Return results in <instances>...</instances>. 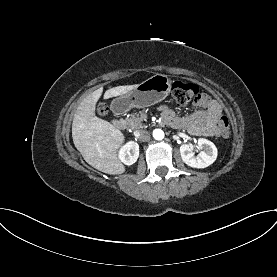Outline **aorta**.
<instances>
[{"label": "aorta", "instance_id": "1", "mask_svg": "<svg viewBox=\"0 0 277 277\" xmlns=\"http://www.w3.org/2000/svg\"><path fill=\"white\" fill-rule=\"evenodd\" d=\"M153 137L156 140H162L164 138V132L161 129H155L153 131Z\"/></svg>", "mask_w": 277, "mask_h": 277}]
</instances>
